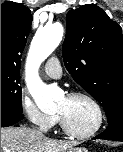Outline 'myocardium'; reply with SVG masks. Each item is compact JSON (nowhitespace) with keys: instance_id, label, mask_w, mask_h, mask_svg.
Returning <instances> with one entry per match:
<instances>
[{"instance_id":"1","label":"myocardium","mask_w":123,"mask_h":152,"mask_svg":"<svg viewBox=\"0 0 123 152\" xmlns=\"http://www.w3.org/2000/svg\"><path fill=\"white\" fill-rule=\"evenodd\" d=\"M68 99H76V98H83L88 100L95 108L96 112H97V122L95 124V126L86 132H78L73 130L68 123L66 122L65 118L58 113V118L60 121V125L63 129V131L72 136V137H76V138H88L91 137L93 135H95L103 126L104 124V120H105V114H104V110L101 106V104L99 103V101L93 97L92 95L86 93V92H81V91H75V92H71L66 96Z\"/></svg>"}]
</instances>
